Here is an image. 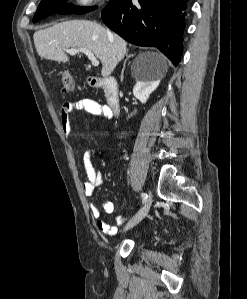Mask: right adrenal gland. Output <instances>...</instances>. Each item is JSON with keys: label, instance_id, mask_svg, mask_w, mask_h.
Here are the masks:
<instances>
[{"label": "right adrenal gland", "instance_id": "2a0ac1e0", "mask_svg": "<svg viewBox=\"0 0 247 299\" xmlns=\"http://www.w3.org/2000/svg\"><path fill=\"white\" fill-rule=\"evenodd\" d=\"M134 56H135V54H128V52L126 53V59H125L124 64H123V68H122V72H121V78H123V74H124L125 65H126L127 60L131 57H134Z\"/></svg>", "mask_w": 247, "mask_h": 299}]
</instances>
